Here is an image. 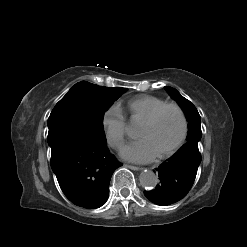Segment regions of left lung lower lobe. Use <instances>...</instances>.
Instances as JSON below:
<instances>
[{
  "instance_id": "0a47b994",
  "label": "left lung lower lobe",
  "mask_w": 247,
  "mask_h": 247,
  "mask_svg": "<svg viewBox=\"0 0 247 247\" xmlns=\"http://www.w3.org/2000/svg\"><path fill=\"white\" fill-rule=\"evenodd\" d=\"M200 162L198 143L187 142L156 169L160 182L154 190L144 191L145 196L161 206L178 202L192 187Z\"/></svg>"
}]
</instances>
